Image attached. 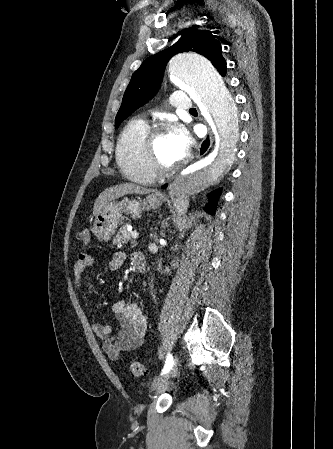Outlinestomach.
Returning <instances> with one entry per match:
<instances>
[{
  "label": "stomach",
  "mask_w": 333,
  "mask_h": 449,
  "mask_svg": "<svg viewBox=\"0 0 333 449\" xmlns=\"http://www.w3.org/2000/svg\"><path fill=\"white\" fill-rule=\"evenodd\" d=\"M160 199L154 195H148L142 202L125 199L121 202L114 200L108 202L95 216L93 232L98 240L108 241L115 233L123 220L122 213L128 212L134 217H139L143 210L158 208Z\"/></svg>",
  "instance_id": "0dacf381"
}]
</instances>
